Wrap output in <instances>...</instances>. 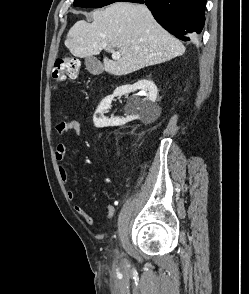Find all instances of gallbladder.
I'll use <instances>...</instances> for the list:
<instances>
[{"mask_svg":"<svg viewBox=\"0 0 249 294\" xmlns=\"http://www.w3.org/2000/svg\"><path fill=\"white\" fill-rule=\"evenodd\" d=\"M85 66L86 70L93 75H99L104 70L101 62L94 56H89L85 58Z\"/></svg>","mask_w":249,"mask_h":294,"instance_id":"gallbladder-1","label":"gallbladder"}]
</instances>
